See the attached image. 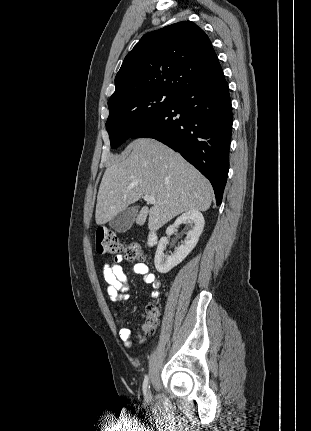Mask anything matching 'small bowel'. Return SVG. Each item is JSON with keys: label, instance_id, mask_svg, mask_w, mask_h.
Here are the masks:
<instances>
[{"label": "small bowel", "instance_id": "c3829d8e", "mask_svg": "<svg viewBox=\"0 0 311 431\" xmlns=\"http://www.w3.org/2000/svg\"><path fill=\"white\" fill-rule=\"evenodd\" d=\"M122 259V256L118 255L114 258L112 263H107L103 267V277L107 284V293L114 305H118L121 301L127 300L130 297L131 287L127 283V276L120 264ZM133 272L136 275L141 276L146 284L152 285V297L155 298L159 295V282L156 280L155 275L151 272L147 264L135 263L133 266ZM131 336L132 331L129 328H120L119 337L128 347L133 344Z\"/></svg>", "mask_w": 311, "mask_h": 431}]
</instances>
